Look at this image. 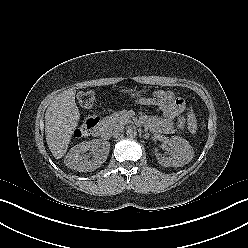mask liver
I'll return each instance as SVG.
<instances>
[{"label":"liver","instance_id":"liver-1","mask_svg":"<svg viewBox=\"0 0 248 248\" xmlns=\"http://www.w3.org/2000/svg\"><path fill=\"white\" fill-rule=\"evenodd\" d=\"M74 89L60 93L45 113V134L48 147L56 159L62 158L68 149L72 134L80 119L75 102Z\"/></svg>","mask_w":248,"mask_h":248}]
</instances>
